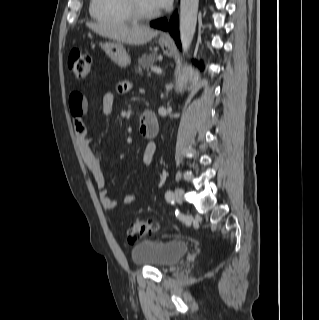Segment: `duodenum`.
<instances>
[{"instance_id":"410a0bca","label":"duodenum","mask_w":319,"mask_h":320,"mask_svg":"<svg viewBox=\"0 0 319 320\" xmlns=\"http://www.w3.org/2000/svg\"><path fill=\"white\" fill-rule=\"evenodd\" d=\"M139 130L146 137H154L159 133L158 120L153 111L148 110L142 115Z\"/></svg>"}]
</instances>
